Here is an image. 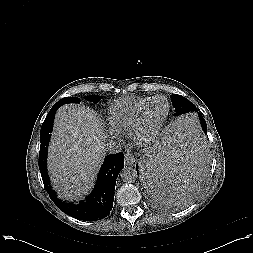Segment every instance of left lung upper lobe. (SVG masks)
Listing matches in <instances>:
<instances>
[{"mask_svg": "<svg viewBox=\"0 0 253 253\" xmlns=\"http://www.w3.org/2000/svg\"><path fill=\"white\" fill-rule=\"evenodd\" d=\"M171 101L177 115L197 111L196 107L188 99L180 95H171Z\"/></svg>", "mask_w": 253, "mask_h": 253, "instance_id": "obj_1", "label": "left lung upper lobe"}]
</instances>
